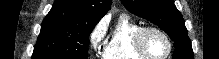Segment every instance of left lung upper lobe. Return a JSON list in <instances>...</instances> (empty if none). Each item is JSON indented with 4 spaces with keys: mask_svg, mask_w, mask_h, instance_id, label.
<instances>
[{
    "mask_svg": "<svg viewBox=\"0 0 219 59\" xmlns=\"http://www.w3.org/2000/svg\"><path fill=\"white\" fill-rule=\"evenodd\" d=\"M131 13L150 20L174 41L173 59H194L191 41L174 0H121Z\"/></svg>",
    "mask_w": 219,
    "mask_h": 59,
    "instance_id": "left-lung-upper-lobe-1",
    "label": "left lung upper lobe"
}]
</instances>
